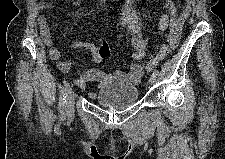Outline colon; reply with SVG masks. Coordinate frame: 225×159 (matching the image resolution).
<instances>
[{
    "mask_svg": "<svg viewBox=\"0 0 225 159\" xmlns=\"http://www.w3.org/2000/svg\"><path fill=\"white\" fill-rule=\"evenodd\" d=\"M170 47L168 45H163L160 50L147 62L145 69L151 71L153 68L158 66L164 57L168 54Z\"/></svg>",
    "mask_w": 225,
    "mask_h": 159,
    "instance_id": "1",
    "label": "colon"
}]
</instances>
